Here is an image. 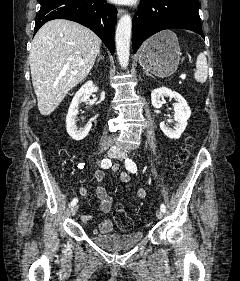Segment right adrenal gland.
Returning <instances> with one entry per match:
<instances>
[{"label": "right adrenal gland", "mask_w": 240, "mask_h": 281, "mask_svg": "<svg viewBox=\"0 0 240 281\" xmlns=\"http://www.w3.org/2000/svg\"><path fill=\"white\" fill-rule=\"evenodd\" d=\"M98 59H97V64H98V62L101 60V59H104V57L101 55V53L99 52V54H98Z\"/></svg>", "instance_id": "right-adrenal-gland-1"}]
</instances>
